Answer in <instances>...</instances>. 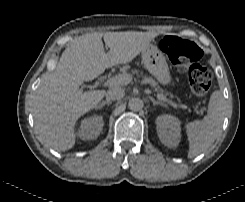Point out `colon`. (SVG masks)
Segmentation results:
<instances>
[{
  "label": "colon",
  "mask_w": 245,
  "mask_h": 202,
  "mask_svg": "<svg viewBox=\"0 0 245 202\" xmlns=\"http://www.w3.org/2000/svg\"><path fill=\"white\" fill-rule=\"evenodd\" d=\"M160 47L179 72L187 73L191 91L195 96H204L210 90L213 77L200 65L202 53L196 44L167 35L161 39Z\"/></svg>",
  "instance_id": "colon-1"
}]
</instances>
